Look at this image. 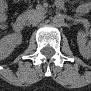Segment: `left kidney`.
I'll use <instances>...</instances> for the list:
<instances>
[{"label":"left kidney","mask_w":91,"mask_h":91,"mask_svg":"<svg viewBox=\"0 0 91 91\" xmlns=\"http://www.w3.org/2000/svg\"><path fill=\"white\" fill-rule=\"evenodd\" d=\"M77 43L80 54L85 58H89L91 55V48L90 44L87 43L86 34L84 32H78Z\"/></svg>","instance_id":"obj_1"}]
</instances>
